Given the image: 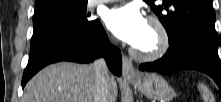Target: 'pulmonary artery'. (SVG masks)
Masks as SVG:
<instances>
[{
	"label": "pulmonary artery",
	"instance_id": "1",
	"mask_svg": "<svg viewBox=\"0 0 221 102\" xmlns=\"http://www.w3.org/2000/svg\"><path fill=\"white\" fill-rule=\"evenodd\" d=\"M118 0H94L93 4L98 5V4H103V3H108V2H115Z\"/></svg>",
	"mask_w": 221,
	"mask_h": 102
}]
</instances>
